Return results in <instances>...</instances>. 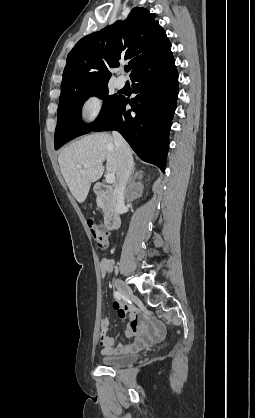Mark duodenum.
Instances as JSON below:
<instances>
[{
	"label": "duodenum",
	"mask_w": 255,
	"mask_h": 418,
	"mask_svg": "<svg viewBox=\"0 0 255 418\" xmlns=\"http://www.w3.org/2000/svg\"><path fill=\"white\" fill-rule=\"evenodd\" d=\"M94 190L105 202V227L110 231L118 229L121 224L120 205L117 202L113 188L104 183H97Z\"/></svg>",
	"instance_id": "duodenum-1"
}]
</instances>
